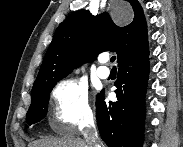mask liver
Segmentation results:
<instances>
[{"label":"liver","instance_id":"6515ba94","mask_svg":"<svg viewBox=\"0 0 183 147\" xmlns=\"http://www.w3.org/2000/svg\"><path fill=\"white\" fill-rule=\"evenodd\" d=\"M29 147H88L80 138H45L35 141Z\"/></svg>","mask_w":183,"mask_h":147}]
</instances>
